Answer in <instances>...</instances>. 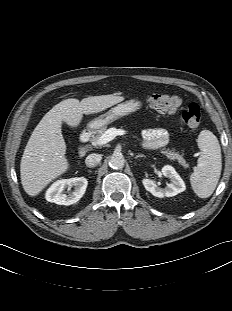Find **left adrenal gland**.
Here are the masks:
<instances>
[{
	"label": "left adrenal gland",
	"instance_id": "obj_1",
	"mask_svg": "<svg viewBox=\"0 0 232 311\" xmlns=\"http://www.w3.org/2000/svg\"><path fill=\"white\" fill-rule=\"evenodd\" d=\"M139 157H145V155L139 154V155H136V156H135L136 159L139 158Z\"/></svg>",
	"mask_w": 232,
	"mask_h": 311
}]
</instances>
